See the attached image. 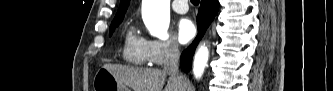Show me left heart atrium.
<instances>
[{"mask_svg": "<svg viewBox=\"0 0 333 91\" xmlns=\"http://www.w3.org/2000/svg\"><path fill=\"white\" fill-rule=\"evenodd\" d=\"M196 33V28L191 19L183 18L178 22L177 35L181 43H188Z\"/></svg>", "mask_w": 333, "mask_h": 91, "instance_id": "39dd6f15", "label": "left heart atrium"}]
</instances>
